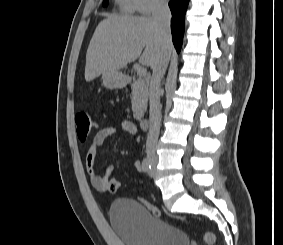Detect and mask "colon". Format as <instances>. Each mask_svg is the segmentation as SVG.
<instances>
[{
  "instance_id": "1",
  "label": "colon",
  "mask_w": 283,
  "mask_h": 245,
  "mask_svg": "<svg viewBox=\"0 0 283 245\" xmlns=\"http://www.w3.org/2000/svg\"><path fill=\"white\" fill-rule=\"evenodd\" d=\"M75 123L77 127V135L80 141L84 142L88 139L92 130L95 128V123L93 122L91 116L86 112H80L75 117ZM120 187V181L117 178H112L108 184L109 192H116ZM143 204L152 211L156 217H160L161 212L153 204L148 201H143ZM203 240L208 245H215L217 242L216 236L211 232H204L202 234Z\"/></svg>"
}]
</instances>
